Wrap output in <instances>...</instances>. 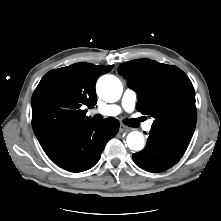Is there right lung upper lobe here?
<instances>
[{
    "instance_id": "obj_1",
    "label": "right lung upper lobe",
    "mask_w": 221,
    "mask_h": 221,
    "mask_svg": "<svg viewBox=\"0 0 221 221\" xmlns=\"http://www.w3.org/2000/svg\"><path fill=\"white\" fill-rule=\"evenodd\" d=\"M112 68L76 63L44 75L31 100L32 127L42 147L66 129L92 121L84 108L97 103L96 81Z\"/></svg>"
}]
</instances>
